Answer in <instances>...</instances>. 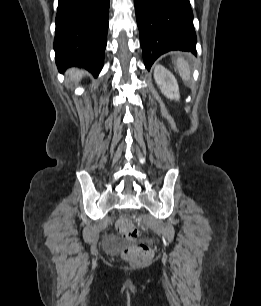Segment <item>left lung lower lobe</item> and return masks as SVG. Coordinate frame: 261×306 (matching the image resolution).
Listing matches in <instances>:
<instances>
[{"label": "left lung lower lobe", "instance_id": "left-lung-lower-lobe-1", "mask_svg": "<svg viewBox=\"0 0 261 306\" xmlns=\"http://www.w3.org/2000/svg\"><path fill=\"white\" fill-rule=\"evenodd\" d=\"M143 59L149 70L171 50L196 54V33L189 0H134Z\"/></svg>", "mask_w": 261, "mask_h": 306}]
</instances>
